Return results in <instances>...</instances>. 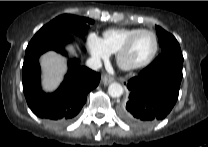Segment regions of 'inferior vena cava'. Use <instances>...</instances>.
Instances as JSON below:
<instances>
[{
    "label": "inferior vena cava",
    "mask_w": 208,
    "mask_h": 147,
    "mask_svg": "<svg viewBox=\"0 0 208 147\" xmlns=\"http://www.w3.org/2000/svg\"><path fill=\"white\" fill-rule=\"evenodd\" d=\"M86 65L93 70H98L101 68L102 63L98 57H91L86 61Z\"/></svg>",
    "instance_id": "obj_1"
}]
</instances>
